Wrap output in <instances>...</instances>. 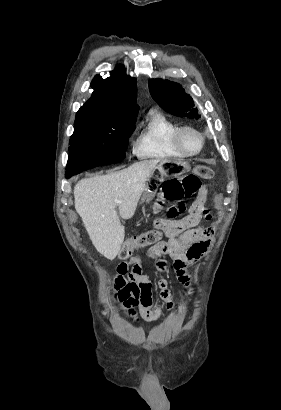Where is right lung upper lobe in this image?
Segmentation results:
<instances>
[{
	"label": "right lung upper lobe",
	"instance_id": "right-lung-upper-lobe-1",
	"mask_svg": "<svg viewBox=\"0 0 281 410\" xmlns=\"http://www.w3.org/2000/svg\"><path fill=\"white\" fill-rule=\"evenodd\" d=\"M110 74L107 78L99 74L94 77L91 82L94 89L92 96L79 110L93 111L106 117H136V79L127 76L121 65Z\"/></svg>",
	"mask_w": 281,
	"mask_h": 410
}]
</instances>
